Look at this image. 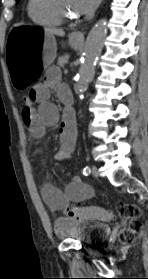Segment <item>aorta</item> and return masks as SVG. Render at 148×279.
Returning <instances> with one entry per match:
<instances>
[{
    "instance_id": "aorta-1",
    "label": "aorta",
    "mask_w": 148,
    "mask_h": 279,
    "mask_svg": "<svg viewBox=\"0 0 148 279\" xmlns=\"http://www.w3.org/2000/svg\"><path fill=\"white\" fill-rule=\"evenodd\" d=\"M107 31V21L106 19H101L92 27L87 36L83 61L77 74V90L80 92V99L83 98V94L81 93L84 92L88 82L93 77L96 61L103 48Z\"/></svg>"
}]
</instances>
